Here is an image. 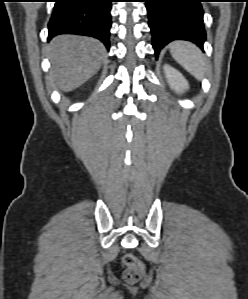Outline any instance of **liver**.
Instances as JSON below:
<instances>
[{
  "mask_svg": "<svg viewBox=\"0 0 248 299\" xmlns=\"http://www.w3.org/2000/svg\"><path fill=\"white\" fill-rule=\"evenodd\" d=\"M50 76L63 91H71L100 68L105 47L97 39L77 35H59L49 44Z\"/></svg>",
  "mask_w": 248,
  "mask_h": 299,
  "instance_id": "6515ba94",
  "label": "liver"
}]
</instances>
